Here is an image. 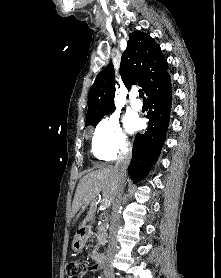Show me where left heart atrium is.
I'll return each mask as SVG.
<instances>
[{
  "label": "left heart atrium",
  "mask_w": 221,
  "mask_h": 278,
  "mask_svg": "<svg viewBox=\"0 0 221 278\" xmlns=\"http://www.w3.org/2000/svg\"><path fill=\"white\" fill-rule=\"evenodd\" d=\"M126 127L130 132L138 130L140 128V121L133 116H130L126 119Z\"/></svg>",
  "instance_id": "left-heart-atrium-1"
}]
</instances>
